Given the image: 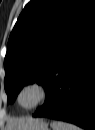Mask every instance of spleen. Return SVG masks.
Masks as SVG:
<instances>
[{
    "label": "spleen",
    "mask_w": 95,
    "mask_h": 130,
    "mask_svg": "<svg viewBox=\"0 0 95 130\" xmlns=\"http://www.w3.org/2000/svg\"><path fill=\"white\" fill-rule=\"evenodd\" d=\"M50 126L52 130H81L78 126L58 120L52 121Z\"/></svg>",
    "instance_id": "3e777b00"
}]
</instances>
